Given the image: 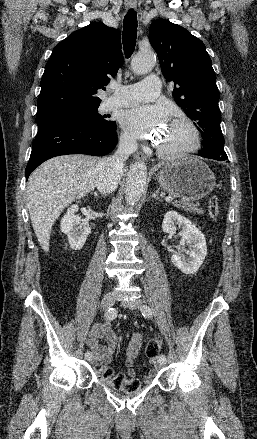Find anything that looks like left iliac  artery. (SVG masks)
Here are the masks:
<instances>
[{"label":"left iliac artery","instance_id":"left-iliac-artery-1","mask_svg":"<svg viewBox=\"0 0 257 439\" xmlns=\"http://www.w3.org/2000/svg\"><path fill=\"white\" fill-rule=\"evenodd\" d=\"M141 312H142V315H143L144 317H146V318H150V317H152V310H151V308H150L149 306H147V305H144V306L141 308ZM159 361H160V362H166V361H167L166 356L163 355V354H161V355L159 356Z\"/></svg>","mask_w":257,"mask_h":439}]
</instances>
